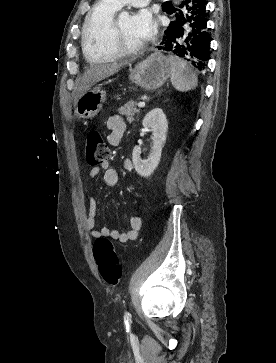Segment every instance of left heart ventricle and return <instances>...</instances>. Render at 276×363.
Wrapping results in <instances>:
<instances>
[{
	"instance_id": "1",
	"label": "left heart ventricle",
	"mask_w": 276,
	"mask_h": 363,
	"mask_svg": "<svg viewBox=\"0 0 276 363\" xmlns=\"http://www.w3.org/2000/svg\"><path fill=\"white\" fill-rule=\"evenodd\" d=\"M119 21L121 42L123 45L133 48L145 43V40L140 36L134 25L133 16H121Z\"/></svg>"
}]
</instances>
